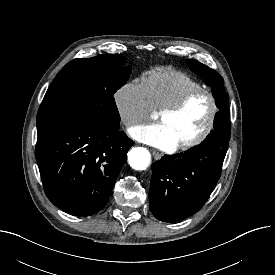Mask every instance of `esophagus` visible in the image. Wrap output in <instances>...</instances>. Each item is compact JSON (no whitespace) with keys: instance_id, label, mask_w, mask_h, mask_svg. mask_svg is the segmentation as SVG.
I'll list each match as a JSON object with an SVG mask.
<instances>
[{"instance_id":"esophagus-1","label":"esophagus","mask_w":275,"mask_h":275,"mask_svg":"<svg viewBox=\"0 0 275 275\" xmlns=\"http://www.w3.org/2000/svg\"><path fill=\"white\" fill-rule=\"evenodd\" d=\"M152 154H153V156H154V158L156 159V160H160L161 159V153L160 152H158V151H156V150H152Z\"/></svg>"}]
</instances>
